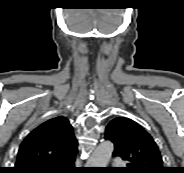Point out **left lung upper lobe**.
Here are the masks:
<instances>
[{"instance_id":"5c2ea615","label":"left lung upper lobe","mask_w":184,"mask_h":173,"mask_svg":"<svg viewBox=\"0 0 184 173\" xmlns=\"http://www.w3.org/2000/svg\"><path fill=\"white\" fill-rule=\"evenodd\" d=\"M105 139L114 143L113 156L127 162L126 173H165L162 157L153 138L138 123L117 117L106 127Z\"/></svg>"}]
</instances>
